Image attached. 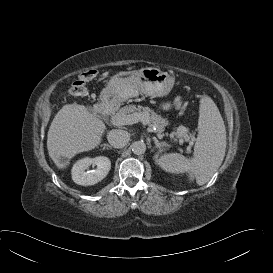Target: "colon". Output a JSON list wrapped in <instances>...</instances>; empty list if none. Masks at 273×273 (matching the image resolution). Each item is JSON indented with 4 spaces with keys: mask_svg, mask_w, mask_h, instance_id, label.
Masks as SVG:
<instances>
[{
    "mask_svg": "<svg viewBox=\"0 0 273 273\" xmlns=\"http://www.w3.org/2000/svg\"><path fill=\"white\" fill-rule=\"evenodd\" d=\"M96 71L88 70L81 74L79 79L71 85L70 92L74 96H84L87 94L86 83L95 77Z\"/></svg>",
    "mask_w": 273,
    "mask_h": 273,
    "instance_id": "colon-1",
    "label": "colon"
}]
</instances>
